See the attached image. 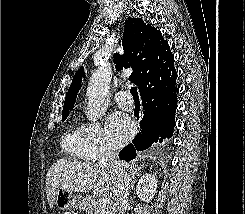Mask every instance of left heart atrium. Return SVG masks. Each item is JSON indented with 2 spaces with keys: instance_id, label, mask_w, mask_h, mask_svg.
Segmentation results:
<instances>
[{
  "instance_id": "left-heart-atrium-1",
  "label": "left heart atrium",
  "mask_w": 245,
  "mask_h": 214,
  "mask_svg": "<svg viewBox=\"0 0 245 214\" xmlns=\"http://www.w3.org/2000/svg\"><path fill=\"white\" fill-rule=\"evenodd\" d=\"M107 137L112 147L124 145L134 134L132 120L122 112H114L106 120Z\"/></svg>"
}]
</instances>
